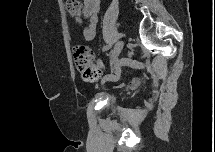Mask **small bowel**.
<instances>
[{
  "label": "small bowel",
  "instance_id": "obj_1",
  "mask_svg": "<svg viewBox=\"0 0 215 152\" xmlns=\"http://www.w3.org/2000/svg\"><path fill=\"white\" fill-rule=\"evenodd\" d=\"M99 2L97 0H85L84 5L82 8V13L84 18L89 19V23L87 26L84 27L83 29V37L86 41H91L94 39L96 36V30L98 26V20H99ZM77 24L81 23V20L76 19L75 20ZM129 62L128 61H123L119 65H117L114 69V74L105 76L102 79V82H105L107 80L110 81H117L120 78L121 75V69L124 65H127ZM98 67L100 69L99 74L97 77L91 80L87 81H95L98 78L101 77V71L104 70L105 66L102 61L98 62ZM140 85V79L138 77H133L130 82L126 85V90L127 91H134L136 90Z\"/></svg>",
  "mask_w": 215,
  "mask_h": 152
}]
</instances>
